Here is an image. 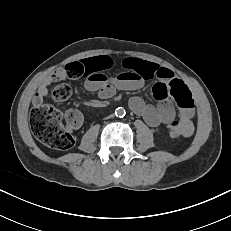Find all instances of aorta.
Listing matches in <instances>:
<instances>
[{
    "instance_id": "obj_1",
    "label": "aorta",
    "mask_w": 231,
    "mask_h": 231,
    "mask_svg": "<svg viewBox=\"0 0 231 231\" xmlns=\"http://www.w3.org/2000/svg\"><path fill=\"white\" fill-rule=\"evenodd\" d=\"M116 116L122 117L125 115V110L121 107L117 108L115 111Z\"/></svg>"
}]
</instances>
